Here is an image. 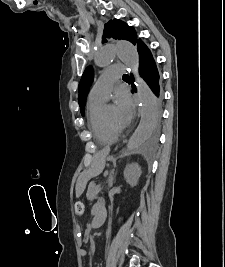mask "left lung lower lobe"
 <instances>
[{"label":"left lung lower lobe","mask_w":225,"mask_h":267,"mask_svg":"<svg viewBox=\"0 0 225 267\" xmlns=\"http://www.w3.org/2000/svg\"><path fill=\"white\" fill-rule=\"evenodd\" d=\"M136 46L139 54V74L155 95L157 105L161 107L163 98L161 79L152 53L142 40H139ZM131 78L132 89L136 92L133 75Z\"/></svg>","instance_id":"0a47b994"}]
</instances>
